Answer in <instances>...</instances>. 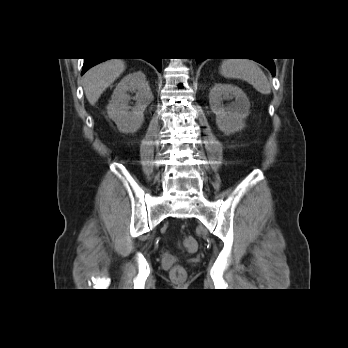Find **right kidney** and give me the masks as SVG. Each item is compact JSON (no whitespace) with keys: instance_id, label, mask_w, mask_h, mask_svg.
<instances>
[{"instance_id":"ca27d5eb","label":"right kidney","mask_w":348,"mask_h":348,"mask_svg":"<svg viewBox=\"0 0 348 348\" xmlns=\"http://www.w3.org/2000/svg\"><path fill=\"white\" fill-rule=\"evenodd\" d=\"M129 92H135L134 107L129 106L132 99ZM154 97L141 71L129 73L118 83L107 107V113L119 131L123 133H135L144 122V111L153 101ZM131 109V111H130Z\"/></svg>"}]
</instances>
